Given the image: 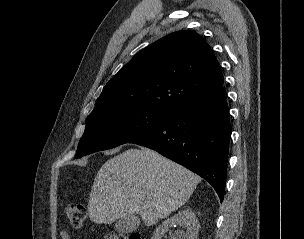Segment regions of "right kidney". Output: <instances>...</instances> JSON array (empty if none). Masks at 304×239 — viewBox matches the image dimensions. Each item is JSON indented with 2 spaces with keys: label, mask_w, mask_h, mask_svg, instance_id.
Masks as SVG:
<instances>
[{
  "label": "right kidney",
  "mask_w": 304,
  "mask_h": 239,
  "mask_svg": "<svg viewBox=\"0 0 304 239\" xmlns=\"http://www.w3.org/2000/svg\"><path fill=\"white\" fill-rule=\"evenodd\" d=\"M176 225L184 226L186 232L177 230L172 234V239H198L200 224L195 213L190 208L179 211L177 214L167 218L156 228L151 239H162V236L169 231V228Z\"/></svg>",
  "instance_id": "obj_1"
}]
</instances>
